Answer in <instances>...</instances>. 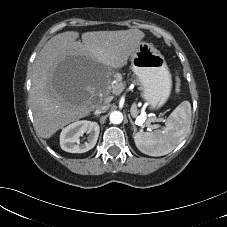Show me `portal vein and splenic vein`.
I'll return each instance as SVG.
<instances>
[{
  "label": "portal vein and splenic vein",
  "instance_id": "18ae733b",
  "mask_svg": "<svg viewBox=\"0 0 227 227\" xmlns=\"http://www.w3.org/2000/svg\"><path fill=\"white\" fill-rule=\"evenodd\" d=\"M116 89H117L118 92H121V91H122L120 84L117 85ZM131 113H132V115H134V116H136V114H137V107H136L135 104H134V105L132 106V108H131ZM137 119H138V121H139L140 123H143V122H145V120H146V115L143 114V115H141V116H138ZM154 121H160V119H155ZM145 124H146V126H147L149 129H156V128L159 127L158 125H151V122H150V121H146Z\"/></svg>",
  "mask_w": 227,
  "mask_h": 227
}]
</instances>
